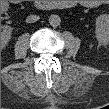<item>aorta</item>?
Segmentation results:
<instances>
[{
    "instance_id": "1",
    "label": "aorta",
    "mask_w": 109,
    "mask_h": 109,
    "mask_svg": "<svg viewBox=\"0 0 109 109\" xmlns=\"http://www.w3.org/2000/svg\"><path fill=\"white\" fill-rule=\"evenodd\" d=\"M49 23L51 26H59L60 23H61V18L59 15H56V14H52L50 17H49Z\"/></svg>"
}]
</instances>
